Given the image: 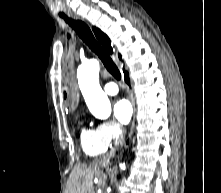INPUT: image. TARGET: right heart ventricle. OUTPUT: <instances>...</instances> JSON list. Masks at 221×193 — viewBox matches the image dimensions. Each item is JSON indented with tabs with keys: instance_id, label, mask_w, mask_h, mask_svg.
<instances>
[{
	"instance_id": "obj_1",
	"label": "right heart ventricle",
	"mask_w": 221,
	"mask_h": 193,
	"mask_svg": "<svg viewBox=\"0 0 221 193\" xmlns=\"http://www.w3.org/2000/svg\"><path fill=\"white\" fill-rule=\"evenodd\" d=\"M80 141L83 151L91 157L99 156L111 148L100 138L96 129L83 128Z\"/></svg>"
}]
</instances>
